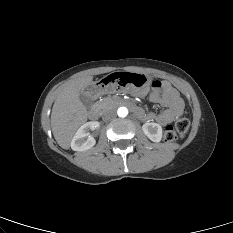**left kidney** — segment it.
I'll return each mask as SVG.
<instances>
[{"label":"left kidney","instance_id":"1","mask_svg":"<svg viewBox=\"0 0 233 233\" xmlns=\"http://www.w3.org/2000/svg\"><path fill=\"white\" fill-rule=\"evenodd\" d=\"M145 135L153 142H160L162 139V127L157 123H145L142 126Z\"/></svg>","mask_w":233,"mask_h":233}]
</instances>
